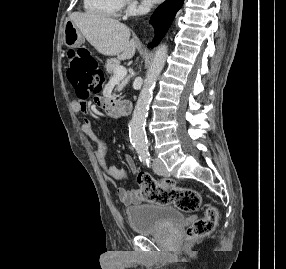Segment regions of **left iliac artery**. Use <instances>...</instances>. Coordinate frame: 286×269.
I'll return each instance as SVG.
<instances>
[{
	"mask_svg": "<svg viewBox=\"0 0 286 269\" xmlns=\"http://www.w3.org/2000/svg\"><path fill=\"white\" fill-rule=\"evenodd\" d=\"M142 160L146 161V162H149V158L148 157H143Z\"/></svg>",
	"mask_w": 286,
	"mask_h": 269,
	"instance_id": "left-iliac-artery-1",
	"label": "left iliac artery"
}]
</instances>
